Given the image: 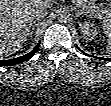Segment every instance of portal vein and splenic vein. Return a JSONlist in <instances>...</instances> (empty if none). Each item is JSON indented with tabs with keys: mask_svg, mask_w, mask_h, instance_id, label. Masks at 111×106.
<instances>
[{
	"mask_svg": "<svg viewBox=\"0 0 111 106\" xmlns=\"http://www.w3.org/2000/svg\"><path fill=\"white\" fill-rule=\"evenodd\" d=\"M80 2H81V1H78V3H77V4H78V5L81 7V4H80Z\"/></svg>",
	"mask_w": 111,
	"mask_h": 106,
	"instance_id": "1",
	"label": "portal vein and splenic vein"
}]
</instances>
